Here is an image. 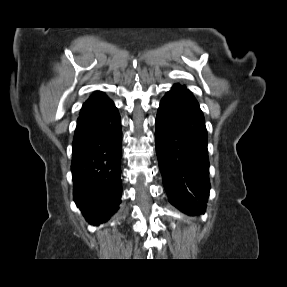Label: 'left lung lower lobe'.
<instances>
[{
  "mask_svg": "<svg viewBox=\"0 0 287 287\" xmlns=\"http://www.w3.org/2000/svg\"><path fill=\"white\" fill-rule=\"evenodd\" d=\"M156 153L169 201L184 213H204L209 196L207 130L199 104L176 84L160 102Z\"/></svg>",
  "mask_w": 287,
  "mask_h": 287,
  "instance_id": "0a47b994",
  "label": "left lung lower lobe"
}]
</instances>
